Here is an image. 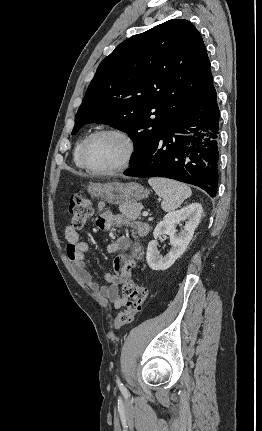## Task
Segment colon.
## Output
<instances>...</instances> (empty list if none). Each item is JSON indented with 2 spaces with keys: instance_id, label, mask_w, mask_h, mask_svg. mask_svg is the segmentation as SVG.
Listing matches in <instances>:
<instances>
[{
  "instance_id": "colon-1",
  "label": "colon",
  "mask_w": 262,
  "mask_h": 431,
  "mask_svg": "<svg viewBox=\"0 0 262 431\" xmlns=\"http://www.w3.org/2000/svg\"><path fill=\"white\" fill-rule=\"evenodd\" d=\"M93 213L89 200L81 194H73L69 200L70 227L75 230L86 226ZM121 293L126 297V308L118 313L114 319L115 328L131 324L134 317L142 311L147 296V288L130 278L121 283Z\"/></svg>"
}]
</instances>
